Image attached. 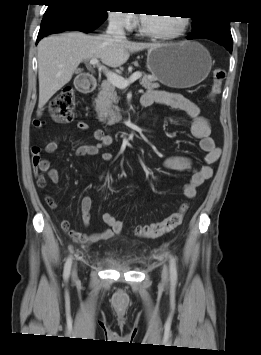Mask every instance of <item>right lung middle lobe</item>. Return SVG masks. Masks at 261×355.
Instances as JSON below:
<instances>
[{
	"label": "right lung middle lobe",
	"mask_w": 261,
	"mask_h": 355,
	"mask_svg": "<svg viewBox=\"0 0 261 355\" xmlns=\"http://www.w3.org/2000/svg\"><path fill=\"white\" fill-rule=\"evenodd\" d=\"M63 5H69L79 9L80 11L89 14L90 16L97 19H106L107 13L103 8H100L96 5L93 0H82L78 2H68V3H60Z\"/></svg>",
	"instance_id": "right-lung-middle-lobe-1"
}]
</instances>
